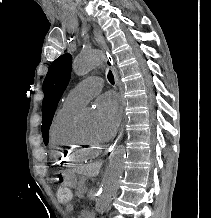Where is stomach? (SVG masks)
Masks as SVG:
<instances>
[{"label":"stomach","instance_id":"stomach-1","mask_svg":"<svg viewBox=\"0 0 211 218\" xmlns=\"http://www.w3.org/2000/svg\"><path fill=\"white\" fill-rule=\"evenodd\" d=\"M64 184L71 188H75L80 184L78 176L74 173L64 175Z\"/></svg>","mask_w":211,"mask_h":218}]
</instances>
